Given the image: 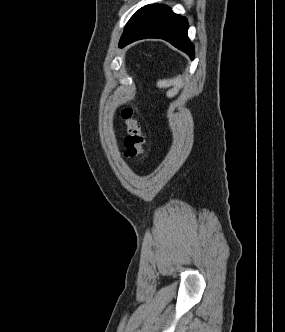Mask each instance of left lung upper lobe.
Masks as SVG:
<instances>
[{"label": "left lung upper lobe", "mask_w": 285, "mask_h": 332, "mask_svg": "<svg viewBox=\"0 0 285 332\" xmlns=\"http://www.w3.org/2000/svg\"><path fill=\"white\" fill-rule=\"evenodd\" d=\"M146 7V6H145ZM145 7H143V8H141L140 10H138L132 17H131V19L129 20V22L127 23V25H126V27L130 24V22L135 18V17H137L138 16V14L145 8Z\"/></svg>", "instance_id": "left-lung-upper-lobe-1"}]
</instances>
